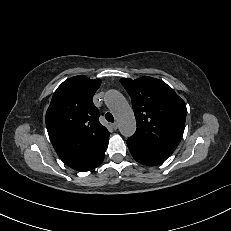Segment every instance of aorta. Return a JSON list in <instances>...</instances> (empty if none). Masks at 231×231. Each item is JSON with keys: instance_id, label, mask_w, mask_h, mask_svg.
Returning a JSON list of instances; mask_svg holds the SVG:
<instances>
[{"instance_id": "aorta-1", "label": "aorta", "mask_w": 231, "mask_h": 231, "mask_svg": "<svg viewBox=\"0 0 231 231\" xmlns=\"http://www.w3.org/2000/svg\"><path fill=\"white\" fill-rule=\"evenodd\" d=\"M104 100L118 121L120 133L125 137L132 136L136 131V121L133 110L124 96L117 90H109Z\"/></svg>"}]
</instances>
